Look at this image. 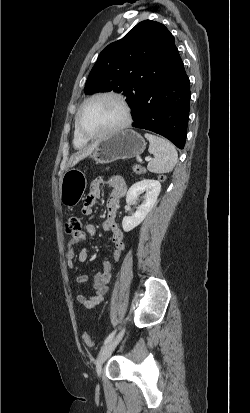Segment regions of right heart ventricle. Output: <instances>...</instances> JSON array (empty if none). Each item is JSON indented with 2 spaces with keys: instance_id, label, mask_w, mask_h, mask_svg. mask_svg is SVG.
<instances>
[{
  "instance_id": "right-heart-ventricle-1",
  "label": "right heart ventricle",
  "mask_w": 250,
  "mask_h": 413,
  "mask_svg": "<svg viewBox=\"0 0 250 413\" xmlns=\"http://www.w3.org/2000/svg\"><path fill=\"white\" fill-rule=\"evenodd\" d=\"M73 144L76 148H82L83 146H85L87 144V140L81 138L76 129L74 130V134H73Z\"/></svg>"
}]
</instances>
